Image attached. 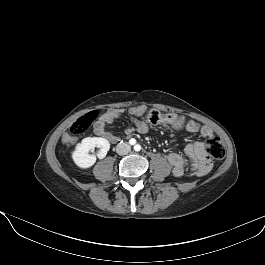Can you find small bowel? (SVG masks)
<instances>
[{"mask_svg":"<svg viewBox=\"0 0 265 265\" xmlns=\"http://www.w3.org/2000/svg\"><path fill=\"white\" fill-rule=\"evenodd\" d=\"M144 113L145 108L142 106L131 107L129 109L109 110L95 123L94 131L98 136L108 140L109 142L115 143L119 140V137L109 130L114 121L122 119L123 116H127L133 124V127H126L124 129V133L126 135H131L134 132L142 133L148 129L147 124L140 119ZM162 125H169L174 130L185 128L189 132L198 133L203 138H210L214 135L211 127L201 125L199 122L194 120H186L184 117L179 123ZM167 159L172 166V174L175 178L183 176L187 165H190L191 169L198 177L207 175L212 168L211 159L205 150L204 143L201 141H194L188 144L184 150V155L172 152L168 154Z\"/></svg>","mask_w":265,"mask_h":265,"instance_id":"obj_1","label":"small bowel"}]
</instances>
